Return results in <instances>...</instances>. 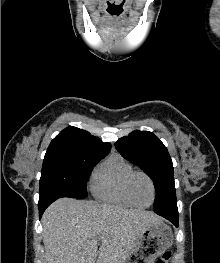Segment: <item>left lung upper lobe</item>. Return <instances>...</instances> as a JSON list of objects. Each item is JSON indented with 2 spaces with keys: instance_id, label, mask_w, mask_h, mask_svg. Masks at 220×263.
Masks as SVG:
<instances>
[{
  "instance_id": "obj_1",
  "label": "left lung upper lobe",
  "mask_w": 220,
  "mask_h": 263,
  "mask_svg": "<svg viewBox=\"0 0 220 263\" xmlns=\"http://www.w3.org/2000/svg\"><path fill=\"white\" fill-rule=\"evenodd\" d=\"M115 147L125 159L139 166L154 181V211L177 210L172 160L163 143L149 131L136 130L120 138Z\"/></svg>"
}]
</instances>
